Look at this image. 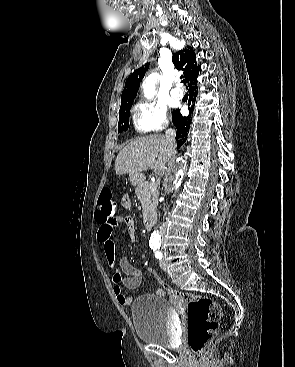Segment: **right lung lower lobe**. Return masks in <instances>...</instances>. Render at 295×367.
Instances as JSON below:
<instances>
[{"label": "right lung lower lobe", "mask_w": 295, "mask_h": 367, "mask_svg": "<svg viewBox=\"0 0 295 367\" xmlns=\"http://www.w3.org/2000/svg\"><path fill=\"white\" fill-rule=\"evenodd\" d=\"M197 95V86L192 87L189 90V97H190V103H192V106L189 108V115L186 116H182L180 114V110L177 109L173 112L172 114V122L175 125L177 132H176V141H177V146L180 147L182 146L186 139H187V135L189 132V126L191 124L192 121V112H193V106H194V102H195V98Z\"/></svg>", "instance_id": "98d812e1"}]
</instances>
